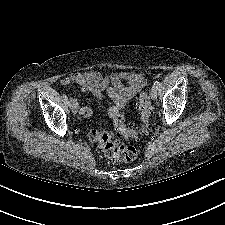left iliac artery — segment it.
Returning a JSON list of instances; mask_svg holds the SVG:
<instances>
[{
    "label": "left iliac artery",
    "mask_w": 225,
    "mask_h": 225,
    "mask_svg": "<svg viewBox=\"0 0 225 225\" xmlns=\"http://www.w3.org/2000/svg\"><path fill=\"white\" fill-rule=\"evenodd\" d=\"M159 86H160V82H159L158 80H156V81L154 82L153 87L156 88V89L158 90V89H159Z\"/></svg>",
    "instance_id": "44dca946"
}]
</instances>
